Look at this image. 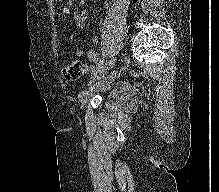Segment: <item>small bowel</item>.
<instances>
[{
  "label": "small bowel",
  "mask_w": 219,
  "mask_h": 192,
  "mask_svg": "<svg viewBox=\"0 0 219 192\" xmlns=\"http://www.w3.org/2000/svg\"><path fill=\"white\" fill-rule=\"evenodd\" d=\"M84 2H85V0H82V1H81V4L83 5ZM70 4H71V3L68 2V5H70ZM63 13H69V9H68V8H65V9L63 10ZM72 19H73V21L75 22L76 27H77L78 29H80V30L85 29V28H87L88 25H89V12H88L87 9L81 8V9L75 11V12L72 14ZM92 43H93V44H98V43H99V39H98L97 36H94V37L92 38ZM76 55H77V56H85L89 61L94 62V63L98 62V60H99L98 53H97V51L94 50V49H90V50H88L86 53H84V52L81 51V50H76ZM84 69H85V71H89V70L92 69V66L86 65V66H84Z\"/></svg>",
  "instance_id": "small-bowel-1"
}]
</instances>
